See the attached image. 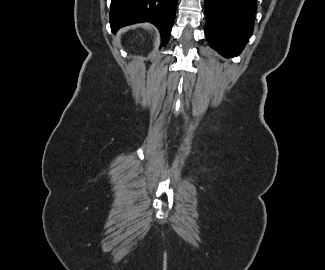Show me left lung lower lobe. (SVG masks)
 Instances as JSON below:
<instances>
[{
    "mask_svg": "<svg viewBox=\"0 0 325 270\" xmlns=\"http://www.w3.org/2000/svg\"><path fill=\"white\" fill-rule=\"evenodd\" d=\"M205 35L226 57L238 56L252 35L256 0H205Z\"/></svg>",
    "mask_w": 325,
    "mask_h": 270,
    "instance_id": "obj_1",
    "label": "left lung lower lobe"
}]
</instances>
